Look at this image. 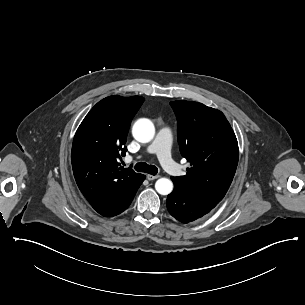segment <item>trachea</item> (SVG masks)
<instances>
[{
  "label": "trachea",
  "instance_id": "1",
  "mask_svg": "<svg viewBox=\"0 0 305 305\" xmlns=\"http://www.w3.org/2000/svg\"><path fill=\"white\" fill-rule=\"evenodd\" d=\"M134 169L139 172L149 173L151 175H156L158 173V168L154 165H148L145 162H138L134 165Z\"/></svg>",
  "mask_w": 305,
  "mask_h": 305
}]
</instances>
